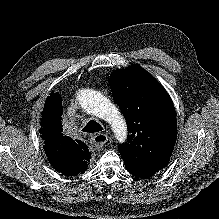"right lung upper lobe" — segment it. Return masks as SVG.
Instances as JSON below:
<instances>
[{"label": "right lung upper lobe", "mask_w": 219, "mask_h": 219, "mask_svg": "<svg viewBox=\"0 0 219 219\" xmlns=\"http://www.w3.org/2000/svg\"><path fill=\"white\" fill-rule=\"evenodd\" d=\"M62 114L61 96L50 94L44 104L40 134L45 140L44 150L51 165L65 176H75L85 172L91 156L86 144L63 135Z\"/></svg>", "instance_id": "cb5924a9"}]
</instances>
